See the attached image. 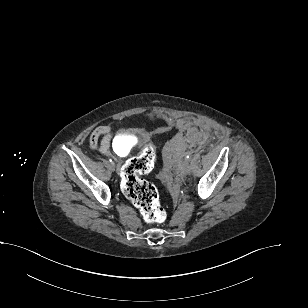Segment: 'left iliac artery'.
<instances>
[{
  "label": "left iliac artery",
  "instance_id": "1",
  "mask_svg": "<svg viewBox=\"0 0 308 308\" xmlns=\"http://www.w3.org/2000/svg\"><path fill=\"white\" fill-rule=\"evenodd\" d=\"M191 157V153H186V158L189 159Z\"/></svg>",
  "mask_w": 308,
  "mask_h": 308
}]
</instances>
